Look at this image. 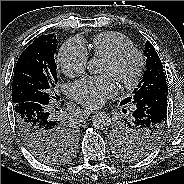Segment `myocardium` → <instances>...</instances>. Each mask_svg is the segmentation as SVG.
I'll use <instances>...</instances> for the list:
<instances>
[{
  "mask_svg": "<svg viewBox=\"0 0 184 184\" xmlns=\"http://www.w3.org/2000/svg\"><path fill=\"white\" fill-rule=\"evenodd\" d=\"M129 58H133L134 66L130 72H127L124 69V64ZM105 62L113 69V76L128 88L138 82L145 65L142 52L134 47L119 51L114 56L105 59Z\"/></svg>",
  "mask_w": 184,
  "mask_h": 184,
  "instance_id": "myocardium-1",
  "label": "myocardium"
}]
</instances>
